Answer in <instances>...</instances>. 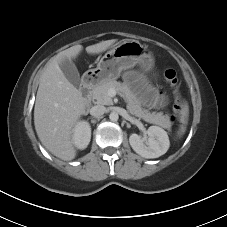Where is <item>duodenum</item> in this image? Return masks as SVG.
Masks as SVG:
<instances>
[{"instance_id": "1", "label": "duodenum", "mask_w": 227, "mask_h": 227, "mask_svg": "<svg viewBox=\"0 0 227 227\" xmlns=\"http://www.w3.org/2000/svg\"><path fill=\"white\" fill-rule=\"evenodd\" d=\"M95 79L92 76H85L81 84V92L83 95V103L87 104L89 102V95L94 86Z\"/></svg>"}]
</instances>
